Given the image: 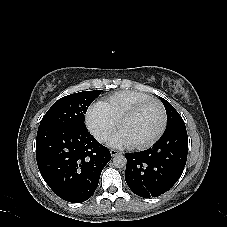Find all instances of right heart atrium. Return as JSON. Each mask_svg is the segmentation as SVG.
<instances>
[{
    "label": "right heart atrium",
    "mask_w": 227,
    "mask_h": 227,
    "mask_svg": "<svg viewBox=\"0 0 227 227\" xmlns=\"http://www.w3.org/2000/svg\"><path fill=\"white\" fill-rule=\"evenodd\" d=\"M84 123L89 133L99 143L109 141L116 129V123L105 114L99 103L92 105L87 110Z\"/></svg>",
    "instance_id": "d8ad5b80"
}]
</instances>
